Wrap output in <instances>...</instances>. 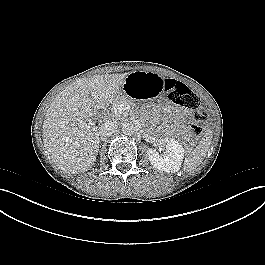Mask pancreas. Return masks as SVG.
Masks as SVG:
<instances>
[{"mask_svg": "<svg viewBox=\"0 0 265 265\" xmlns=\"http://www.w3.org/2000/svg\"><path fill=\"white\" fill-rule=\"evenodd\" d=\"M119 104H124V105H128L131 108H135V103L128 97V96H118L114 99L113 101V108H115L117 105ZM113 118H115L116 120H118L120 118L119 114H113L112 116Z\"/></svg>", "mask_w": 265, "mask_h": 265, "instance_id": "1", "label": "pancreas"}]
</instances>
